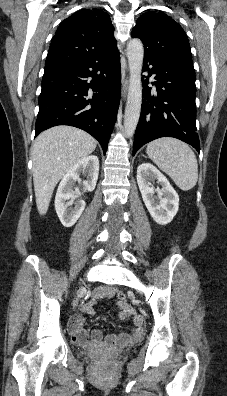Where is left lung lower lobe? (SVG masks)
Wrapping results in <instances>:
<instances>
[{"label": "left lung lower lobe", "instance_id": "1", "mask_svg": "<svg viewBox=\"0 0 227 396\" xmlns=\"http://www.w3.org/2000/svg\"><path fill=\"white\" fill-rule=\"evenodd\" d=\"M149 65L152 68L149 69ZM144 71L154 75L155 89L143 79L141 116L135 132L133 155L144 144L160 137H174L198 152L196 133L195 70L180 61L144 54Z\"/></svg>", "mask_w": 227, "mask_h": 396}]
</instances>
